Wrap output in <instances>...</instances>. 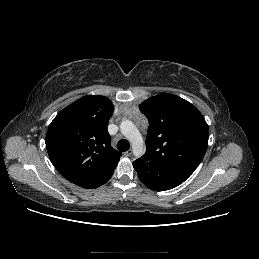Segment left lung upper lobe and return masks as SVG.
<instances>
[{
    "label": "left lung upper lobe",
    "instance_id": "1",
    "mask_svg": "<svg viewBox=\"0 0 259 259\" xmlns=\"http://www.w3.org/2000/svg\"><path fill=\"white\" fill-rule=\"evenodd\" d=\"M139 109L149 122L140 159L191 175L208 147V125L199 110L169 93L150 97Z\"/></svg>",
    "mask_w": 259,
    "mask_h": 259
}]
</instances>
